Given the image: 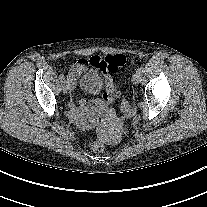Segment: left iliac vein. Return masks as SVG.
<instances>
[{
    "label": "left iliac vein",
    "instance_id": "left-iliac-vein-1",
    "mask_svg": "<svg viewBox=\"0 0 207 207\" xmlns=\"http://www.w3.org/2000/svg\"><path fill=\"white\" fill-rule=\"evenodd\" d=\"M140 81V74L139 73H135L133 76H132V83L137 85Z\"/></svg>",
    "mask_w": 207,
    "mask_h": 207
}]
</instances>
